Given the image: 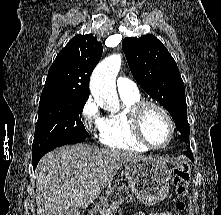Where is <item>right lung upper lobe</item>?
Here are the masks:
<instances>
[{"label":"right lung upper lobe","mask_w":221,"mask_h":215,"mask_svg":"<svg viewBox=\"0 0 221 215\" xmlns=\"http://www.w3.org/2000/svg\"><path fill=\"white\" fill-rule=\"evenodd\" d=\"M102 50L101 42L91 34L73 37L51 65L40 103L54 99H88L90 76Z\"/></svg>","instance_id":"obj_1"}]
</instances>
